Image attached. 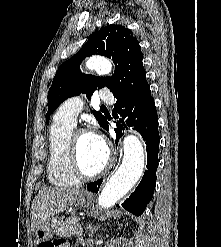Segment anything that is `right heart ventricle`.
I'll return each instance as SVG.
<instances>
[{
	"mask_svg": "<svg viewBox=\"0 0 221 247\" xmlns=\"http://www.w3.org/2000/svg\"><path fill=\"white\" fill-rule=\"evenodd\" d=\"M71 132L72 126L54 118L49 134L47 175L56 186H73L80 181L72 171L69 158Z\"/></svg>",
	"mask_w": 221,
	"mask_h": 247,
	"instance_id": "1",
	"label": "right heart ventricle"
}]
</instances>
